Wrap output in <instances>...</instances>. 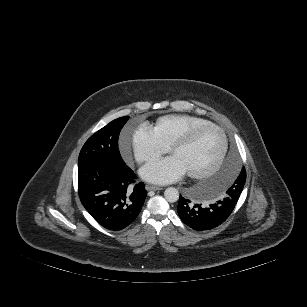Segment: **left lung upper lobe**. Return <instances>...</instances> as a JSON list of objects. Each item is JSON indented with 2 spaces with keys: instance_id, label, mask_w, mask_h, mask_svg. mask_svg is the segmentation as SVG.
Segmentation results:
<instances>
[{
  "instance_id": "5c2ea615",
  "label": "left lung upper lobe",
  "mask_w": 307,
  "mask_h": 307,
  "mask_svg": "<svg viewBox=\"0 0 307 307\" xmlns=\"http://www.w3.org/2000/svg\"><path fill=\"white\" fill-rule=\"evenodd\" d=\"M245 181H246V171L244 168H242L239 176L237 177L233 185L228 189L226 193L229 195H234L239 198L243 190Z\"/></svg>"
}]
</instances>
